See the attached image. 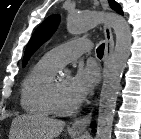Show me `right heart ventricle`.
I'll use <instances>...</instances> for the list:
<instances>
[{"label":"right heart ventricle","instance_id":"1","mask_svg":"<svg viewBox=\"0 0 141 139\" xmlns=\"http://www.w3.org/2000/svg\"><path fill=\"white\" fill-rule=\"evenodd\" d=\"M59 67L41 58L25 76L20 91V103L25 112L34 116L53 114L49 102V85Z\"/></svg>","mask_w":141,"mask_h":139}]
</instances>
